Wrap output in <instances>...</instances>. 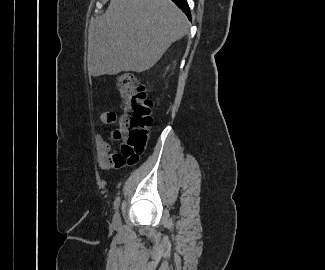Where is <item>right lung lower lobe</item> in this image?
<instances>
[{"mask_svg": "<svg viewBox=\"0 0 325 270\" xmlns=\"http://www.w3.org/2000/svg\"><path fill=\"white\" fill-rule=\"evenodd\" d=\"M179 8L183 10V12L188 16L190 19V10L186 0H172Z\"/></svg>", "mask_w": 325, "mask_h": 270, "instance_id": "1", "label": "right lung lower lobe"}]
</instances>
